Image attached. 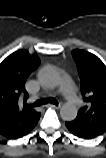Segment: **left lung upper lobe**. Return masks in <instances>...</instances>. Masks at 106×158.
I'll list each match as a JSON object with an SVG mask.
<instances>
[{"label": "left lung upper lobe", "mask_w": 106, "mask_h": 158, "mask_svg": "<svg viewBox=\"0 0 106 158\" xmlns=\"http://www.w3.org/2000/svg\"><path fill=\"white\" fill-rule=\"evenodd\" d=\"M72 56L86 105L69 125L84 138H94L106 131V66L87 51L75 49Z\"/></svg>", "instance_id": "5c2ea615"}]
</instances>
